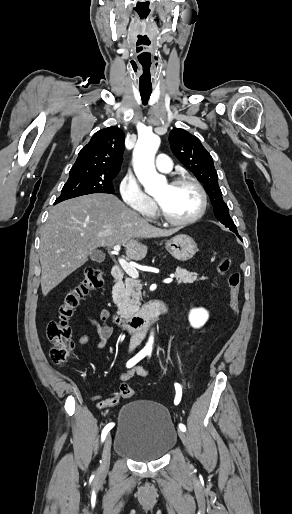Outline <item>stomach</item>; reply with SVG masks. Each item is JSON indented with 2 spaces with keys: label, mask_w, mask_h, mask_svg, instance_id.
Here are the masks:
<instances>
[{
  "label": "stomach",
  "mask_w": 292,
  "mask_h": 514,
  "mask_svg": "<svg viewBox=\"0 0 292 514\" xmlns=\"http://www.w3.org/2000/svg\"><path fill=\"white\" fill-rule=\"evenodd\" d=\"M165 248L175 260H180V262L190 260L197 252V244L186 234H178L171 240H167Z\"/></svg>",
  "instance_id": "1"
}]
</instances>
